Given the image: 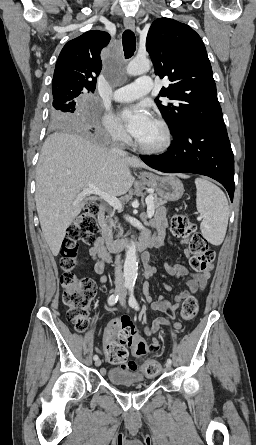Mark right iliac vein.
Instances as JSON below:
<instances>
[{
    "mask_svg": "<svg viewBox=\"0 0 256 445\" xmlns=\"http://www.w3.org/2000/svg\"><path fill=\"white\" fill-rule=\"evenodd\" d=\"M101 360L98 358L96 361H95V365L97 366V367H99L100 365H101Z\"/></svg>",
    "mask_w": 256,
    "mask_h": 445,
    "instance_id": "right-iliac-vein-1",
    "label": "right iliac vein"
}]
</instances>
